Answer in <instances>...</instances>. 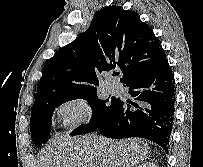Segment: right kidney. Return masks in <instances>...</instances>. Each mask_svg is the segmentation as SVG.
<instances>
[{
    "label": "right kidney",
    "instance_id": "ca27d5eb",
    "mask_svg": "<svg viewBox=\"0 0 203 167\" xmlns=\"http://www.w3.org/2000/svg\"><path fill=\"white\" fill-rule=\"evenodd\" d=\"M138 167H157V166L154 163L146 162L139 165Z\"/></svg>",
    "mask_w": 203,
    "mask_h": 167
}]
</instances>
